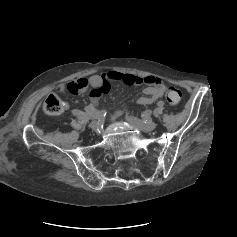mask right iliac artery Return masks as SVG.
Returning a JSON list of instances; mask_svg holds the SVG:
<instances>
[{
	"mask_svg": "<svg viewBox=\"0 0 237 237\" xmlns=\"http://www.w3.org/2000/svg\"><path fill=\"white\" fill-rule=\"evenodd\" d=\"M72 114L77 117H87V118L102 120L106 116V111L101 110V111L96 112L95 114H89L87 112H83L78 109H73Z\"/></svg>",
	"mask_w": 237,
	"mask_h": 237,
	"instance_id": "obj_1",
	"label": "right iliac artery"
}]
</instances>
